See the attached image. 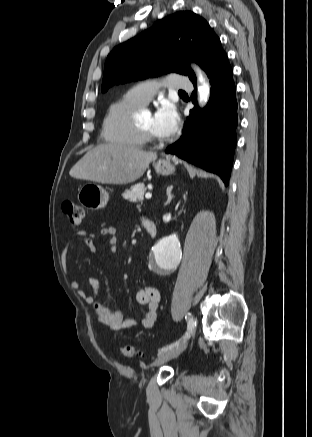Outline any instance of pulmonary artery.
Returning <instances> with one entry per match:
<instances>
[{
    "mask_svg": "<svg viewBox=\"0 0 312 437\" xmlns=\"http://www.w3.org/2000/svg\"><path fill=\"white\" fill-rule=\"evenodd\" d=\"M159 84L171 89H189L191 81L183 74H172L162 81H146L133 87L128 96L134 101L146 105L156 93Z\"/></svg>",
    "mask_w": 312,
    "mask_h": 437,
    "instance_id": "obj_1",
    "label": "pulmonary artery"
}]
</instances>
